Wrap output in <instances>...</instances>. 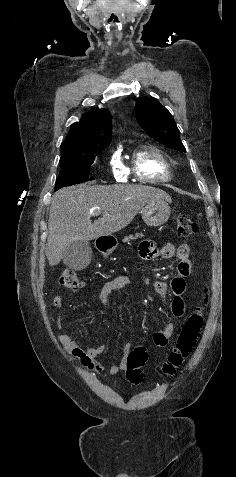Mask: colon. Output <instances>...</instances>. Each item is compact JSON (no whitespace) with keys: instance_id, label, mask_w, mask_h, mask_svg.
I'll return each instance as SVG.
<instances>
[{"instance_id":"colon-1","label":"colon","mask_w":236,"mask_h":477,"mask_svg":"<svg viewBox=\"0 0 236 477\" xmlns=\"http://www.w3.org/2000/svg\"><path fill=\"white\" fill-rule=\"evenodd\" d=\"M198 231L197 222L190 216L182 214L177 218V233L179 236L188 238ZM60 284L69 289H77L83 285V280L77 273L70 269H65L60 275ZM203 309L194 312L184 324L179 333L175 349L169 354L163 364L165 375H173L182 365L185 358L191 353L196 345L203 327ZM148 359L147 350L139 346L133 349L127 358L126 378L134 384L143 380L142 367Z\"/></svg>"}]
</instances>
